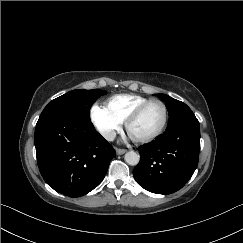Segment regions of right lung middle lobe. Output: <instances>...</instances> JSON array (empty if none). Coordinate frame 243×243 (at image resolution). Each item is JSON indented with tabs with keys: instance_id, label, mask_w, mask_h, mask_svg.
Returning <instances> with one entry per match:
<instances>
[{
	"instance_id": "obj_1",
	"label": "right lung middle lobe",
	"mask_w": 243,
	"mask_h": 243,
	"mask_svg": "<svg viewBox=\"0 0 243 243\" xmlns=\"http://www.w3.org/2000/svg\"><path fill=\"white\" fill-rule=\"evenodd\" d=\"M103 90H73L52 100L42 111L39 120L52 116H68L90 121V108L102 95Z\"/></svg>"
}]
</instances>
